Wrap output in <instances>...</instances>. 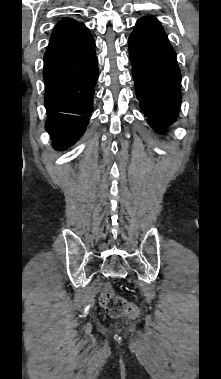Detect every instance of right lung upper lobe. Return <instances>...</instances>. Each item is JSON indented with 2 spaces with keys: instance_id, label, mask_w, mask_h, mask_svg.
I'll list each match as a JSON object with an SVG mask.
<instances>
[{
  "instance_id": "cb5924a9",
  "label": "right lung upper lobe",
  "mask_w": 221,
  "mask_h": 379,
  "mask_svg": "<svg viewBox=\"0 0 221 379\" xmlns=\"http://www.w3.org/2000/svg\"><path fill=\"white\" fill-rule=\"evenodd\" d=\"M81 24L82 23H80L74 19L65 18L56 25V27L54 28V31L51 35V39H54V38L59 37L63 34H66L70 31H72L73 29L77 28Z\"/></svg>"
}]
</instances>
